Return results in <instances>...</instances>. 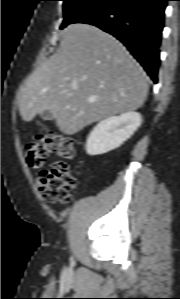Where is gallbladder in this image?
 I'll use <instances>...</instances> for the list:
<instances>
[{"label": "gallbladder", "mask_w": 180, "mask_h": 299, "mask_svg": "<svg viewBox=\"0 0 180 299\" xmlns=\"http://www.w3.org/2000/svg\"><path fill=\"white\" fill-rule=\"evenodd\" d=\"M40 117L43 120H52L53 119V114L51 113L50 110H45V111L40 113Z\"/></svg>", "instance_id": "obj_1"}]
</instances>
